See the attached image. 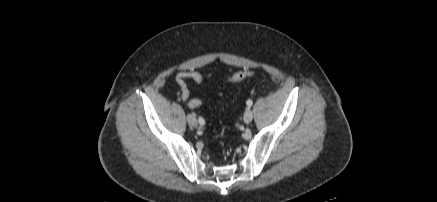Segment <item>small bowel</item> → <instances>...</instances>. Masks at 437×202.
<instances>
[{"instance_id":"small-bowel-1","label":"small bowel","mask_w":437,"mask_h":202,"mask_svg":"<svg viewBox=\"0 0 437 202\" xmlns=\"http://www.w3.org/2000/svg\"><path fill=\"white\" fill-rule=\"evenodd\" d=\"M187 80H193L197 84H201L203 82V76L196 71H188V72H180L176 76V82L181 88L180 98L182 101H187L190 96V91L187 85ZM189 109L193 110L203 105V101L201 99H191L188 101Z\"/></svg>"}]
</instances>
